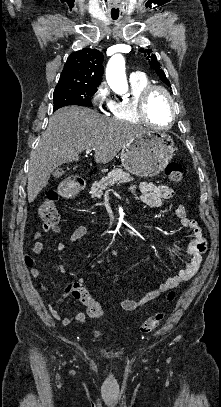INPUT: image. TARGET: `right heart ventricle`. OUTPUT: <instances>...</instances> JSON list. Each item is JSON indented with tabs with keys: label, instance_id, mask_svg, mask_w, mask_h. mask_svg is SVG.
<instances>
[{
	"label": "right heart ventricle",
	"instance_id": "1",
	"mask_svg": "<svg viewBox=\"0 0 221 407\" xmlns=\"http://www.w3.org/2000/svg\"><path fill=\"white\" fill-rule=\"evenodd\" d=\"M152 84L146 76L130 79V93L128 99H120L113 102L111 115L116 120L138 123L141 120L136 113V105L143 91Z\"/></svg>",
	"mask_w": 221,
	"mask_h": 407
}]
</instances>
